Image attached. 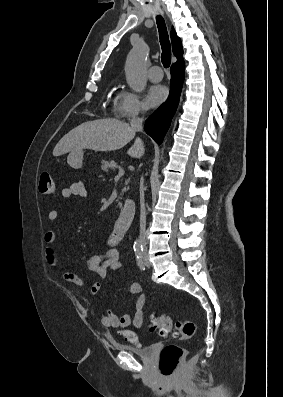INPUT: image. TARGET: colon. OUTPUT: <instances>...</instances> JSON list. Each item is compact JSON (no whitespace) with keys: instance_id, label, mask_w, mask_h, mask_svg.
I'll use <instances>...</instances> for the list:
<instances>
[{"instance_id":"colon-1","label":"colon","mask_w":283,"mask_h":397,"mask_svg":"<svg viewBox=\"0 0 283 397\" xmlns=\"http://www.w3.org/2000/svg\"><path fill=\"white\" fill-rule=\"evenodd\" d=\"M39 192L43 195H52L55 193V182L51 174L47 171L42 172L38 184ZM176 329V336L181 339L191 338L196 330V325L192 321L174 322L170 316H152L150 330L156 332L161 337H167L172 327ZM123 337L130 343H137L136 335L131 331H123ZM186 354V350L176 344L166 345L160 354L159 369L163 376H173L180 367V364Z\"/></svg>"}]
</instances>
